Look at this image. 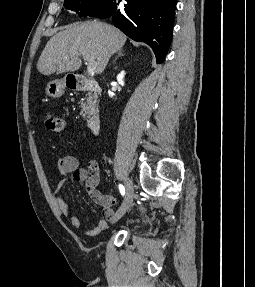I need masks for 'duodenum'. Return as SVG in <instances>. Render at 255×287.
I'll use <instances>...</instances> for the list:
<instances>
[{
    "label": "duodenum",
    "mask_w": 255,
    "mask_h": 287,
    "mask_svg": "<svg viewBox=\"0 0 255 287\" xmlns=\"http://www.w3.org/2000/svg\"><path fill=\"white\" fill-rule=\"evenodd\" d=\"M68 87L75 91H89L93 93L99 92V86L96 82L85 79V78H76L68 82ZM101 124V118L98 113H93L90 115L87 125L89 130L96 134L99 132Z\"/></svg>",
    "instance_id": "duodenum-1"
}]
</instances>
